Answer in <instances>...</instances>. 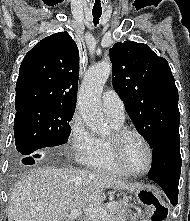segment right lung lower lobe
<instances>
[{"label":"right lung lower lobe","mask_w":190,"mask_h":221,"mask_svg":"<svg viewBox=\"0 0 190 221\" xmlns=\"http://www.w3.org/2000/svg\"><path fill=\"white\" fill-rule=\"evenodd\" d=\"M43 152H44V150H41V151H37L33 154L24 156L22 159V162L26 165H32L35 163L34 158H38L40 156V154Z\"/></svg>","instance_id":"right-lung-lower-lobe-1"}]
</instances>
